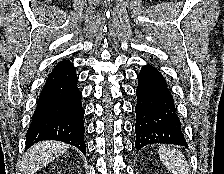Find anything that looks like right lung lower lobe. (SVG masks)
Listing matches in <instances>:
<instances>
[{"instance_id":"98d812e1","label":"right lung lower lobe","mask_w":224,"mask_h":174,"mask_svg":"<svg viewBox=\"0 0 224 174\" xmlns=\"http://www.w3.org/2000/svg\"><path fill=\"white\" fill-rule=\"evenodd\" d=\"M72 63L60 61L49 74L26 134V149L43 140L76 146L85 154L84 109Z\"/></svg>"}]
</instances>
